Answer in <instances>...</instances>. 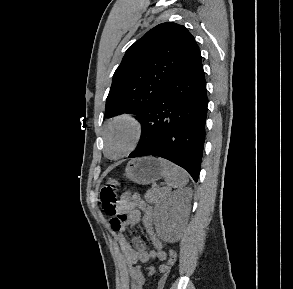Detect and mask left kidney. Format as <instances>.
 Returning <instances> with one entry per match:
<instances>
[{"instance_id":"1","label":"left kidney","mask_w":293,"mask_h":289,"mask_svg":"<svg viewBox=\"0 0 293 289\" xmlns=\"http://www.w3.org/2000/svg\"><path fill=\"white\" fill-rule=\"evenodd\" d=\"M190 189L171 192L156 209L154 224L158 237L166 242L180 239L190 211Z\"/></svg>"}]
</instances>
